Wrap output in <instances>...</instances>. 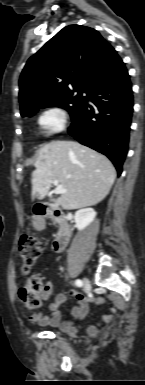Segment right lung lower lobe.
<instances>
[{
  "label": "right lung lower lobe",
  "instance_id": "1",
  "mask_svg": "<svg viewBox=\"0 0 145 385\" xmlns=\"http://www.w3.org/2000/svg\"><path fill=\"white\" fill-rule=\"evenodd\" d=\"M87 102L72 118L68 129L81 144L106 155L118 174L122 172L133 113V92L127 69L93 87Z\"/></svg>",
  "mask_w": 145,
  "mask_h": 385
}]
</instances>
